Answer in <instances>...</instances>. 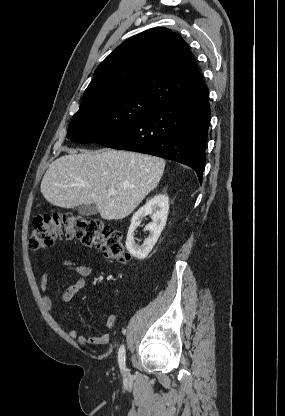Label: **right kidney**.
Segmentation results:
<instances>
[{"instance_id":"1","label":"right kidney","mask_w":285,"mask_h":416,"mask_svg":"<svg viewBox=\"0 0 285 416\" xmlns=\"http://www.w3.org/2000/svg\"><path fill=\"white\" fill-rule=\"evenodd\" d=\"M168 202V196H165V194H158V196H154V198L148 200L145 206H142V208H139V210L133 214L127 234L126 248L129 254L134 256L136 260H145L148 254H150L153 246H155L166 224L169 210ZM149 214H151L153 220L151 224H147L146 226V230H149L150 236L149 238H145L142 246H137L134 242V232L136 228L140 226L142 218L149 216Z\"/></svg>"}]
</instances>
